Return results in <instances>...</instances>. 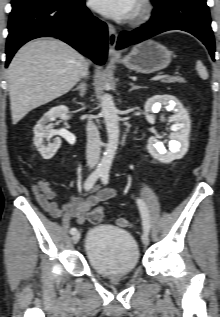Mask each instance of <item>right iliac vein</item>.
Masks as SVG:
<instances>
[{"label": "right iliac vein", "instance_id": "right-iliac-vein-1", "mask_svg": "<svg viewBox=\"0 0 220 317\" xmlns=\"http://www.w3.org/2000/svg\"><path fill=\"white\" fill-rule=\"evenodd\" d=\"M80 237H81L80 232H76V233L73 235V237H72V242H73L74 244H77V243L79 242V240H80Z\"/></svg>", "mask_w": 220, "mask_h": 317}]
</instances>
